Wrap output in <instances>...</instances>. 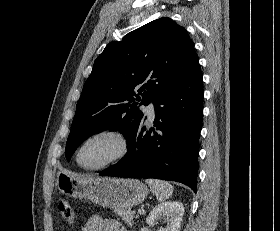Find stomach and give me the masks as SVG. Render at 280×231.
<instances>
[{
  "label": "stomach",
  "mask_w": 280,
  "mask_h": 231,
  "mask_svg": "<svg viewBox=\"0 0 280 231\" xmlns=\"http://www.w3.org/2000/svg\"><path fill=\"white\" fill-rule=\"evenodd\" d=\"M56 185L64 195L89 199L102 207H132L142 203L148 195V187L139 179L122 177H96L80 175L73 171H58Z\"/></svg>",
  "instance_id": "1"
}]
</instances>
